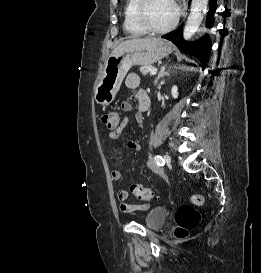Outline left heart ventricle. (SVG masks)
I'll list each match as a JSON object with an SVG mask.
<instances>
[{"mask_svg": "<svg viewBox=\"0 0 261 273\" xmlns=\"http://www.w3.org/2000/svg\"><path fill=\"white\" fill-rule=\"evenodd\" d=\"M176 17L173 0H150L146 10V20L155 27H164Z\"/></svg>", "mask_w": 261, "mask_h": 273, "instance_id": "1", "label": "left heart ventricle"}]
</instances>
